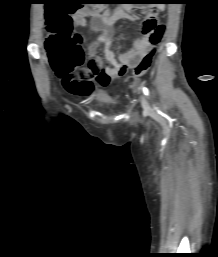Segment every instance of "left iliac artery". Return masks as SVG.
<instances>
[{"mask_svg":"<svg viewBox=\"0 0 218 257\" xmlns=\"http://www.w3.org/2000/svg\"><path fill=\"white\" fill-rule=\"evenodd\" d=\"M143 93L146 95V96H149V90L147 87H143Z\"/></svg>","mask_w":218,"mask_h":257,"instance_id":"44dca946","label":"left iliac artery"}]
</instances>
